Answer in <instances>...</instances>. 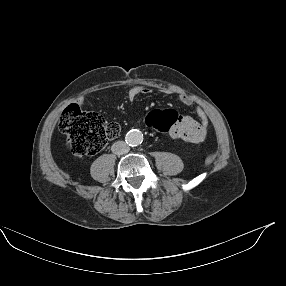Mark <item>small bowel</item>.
I'll return each mask as SVG.
<instances>
[{"label":"small bowel","mask_w":286,"mask_h":286,"mask_svg":"<svg viewBox=\"0 0 286 286\" xmlns=\"http://www.w3.org/2000/svg\"><path fill=\"white\" fill-rule=\"evenodd\" d=\"M149 93V88L142 85H134L128 90L127 99L130 102H134L139 95ZM182 100L185 104L191 103L189 96H183ZM197 115L199 117V122L193 120L188 116L181 115V121L173 125V127L168 130L170 136L174 139L182 140L192 144L203 142L207 135L209 118L206 111L203 109H198Z\"/></svg>","instance_id":"small-bowel-1"}]
</instances>
